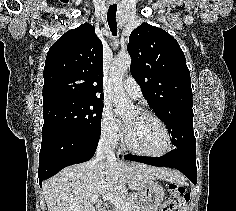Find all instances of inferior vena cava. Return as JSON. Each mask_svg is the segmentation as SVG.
I'll list each match as a JSON object with an SVG mask.
<instances>
[{"instance_id": "obj_1", "label": "inferior vena cava", "mask_w": 236, "mask_h": 211, "mask_svg": "<svg viewBox=\"0 0 236 211\" xmlns=\"http://www.w3.org/2000/svg\"><path fill=\"white\" fill-rule=\"evenodd\" d=\"M114 160H116V157L112 149V140L109 137L103 135L100 138L93 164L105 163L106 161Z\"/></svg>"}]
</instances>
